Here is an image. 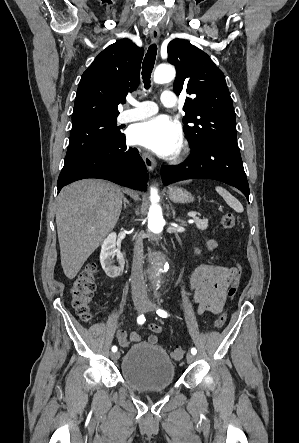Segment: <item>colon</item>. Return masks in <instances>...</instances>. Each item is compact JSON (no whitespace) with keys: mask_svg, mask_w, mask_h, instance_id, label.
<instances>
[{"mask_svg":"<svg viewBox=\"0 0 299 443\" xmlns=\"http://www.w3.org/2000/svg\"><path fill=\"white\" fill-rule=\"evenodd\" d=\"M222 225L226 229H233L237 220L234 214L225 213L222 216ZM97 265L94 262L88 263L77 275L71 287V304L79 318L85 322L93 319L90 308V301L96 288ZM241 276V266L237 264L234 269V277L228 288L227 295L231 299L235 296L239 286ZM226 313H222L214 322L215 328H221L226 322ZM185 355L184 348H175L171 352L174 360H181Z\"/></svg>","mask_w":299,"mask_h":443,"instance_id":"1","label":"colon"}]
</instances>
